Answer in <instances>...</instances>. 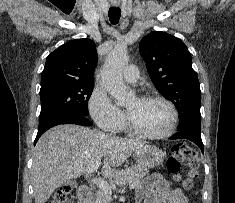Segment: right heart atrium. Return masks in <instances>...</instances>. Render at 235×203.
<instances>
[{"mask_svg":"<svg viewBox=\"0 0 235 203\" xmlns=\"http://www.w3.org/2000/svg\"><path fill=\"white\" fill-rule=\"evenodd\" d=\"M89 112L95 123L108 132L119 131L124 123L123 113L112 104L101 88H95L89 99Z\"/></svg>","mask_w":235,"mask_h":203,"instance_id":"right-heart-atrium-1","label":"right heart atrium"}]
</instances>
